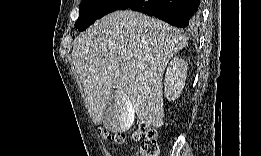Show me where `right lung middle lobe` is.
Wrapping results in <instances>:
<instances>
[{
    "instance_id": "dd1d6c3e",
    "label": "right lung middle lobe",
    "mask_w": 261,
    "mask_h": 156,
    "mask_svg": "<svg viewBox=\"0 0 261 156\" xmlns=\"http://www.w3.org/2000/svg\"><path fill=\"white\" fill-rule=\"evenodd\" d=\"M127 0H82L75 27L84 31L103 15L117 10Z\"/></svg>"
}]
</instances>
